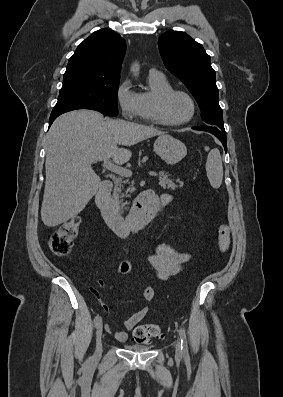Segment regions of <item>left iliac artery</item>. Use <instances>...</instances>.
Masks as SVG:
<instances>
[{
    "mask_svg": "<svg viewBox=\"0 0 283 397\" xmlns=\"http://www.w3.org/2000/svg\"><path fill=\"white\" fill-rule=\"evenodd\" d=\"M179 335H180V340H181L182 353H183L185 359L188 360L189 354H188L187 338H186L185 330L182 327L179 329Z\"/></svg>",
    "mask_w": 283,
    "mask_h": 397,
    "instance_id": "left-iliac-artery-1",
    "label": "left iliac artery"
}]
</instances>
